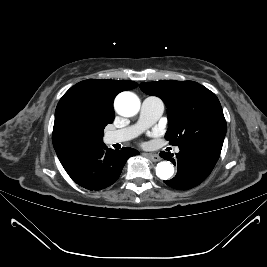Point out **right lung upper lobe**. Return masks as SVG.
Segmentation results:
<instances>
[{
	"instance_id": "1",
	"label": "right lung upper lobe",
	"mask_w": 267,
	"mask_h": 267,
	"mask_svg": "<svg viewBox=\"0 0 267 267\" xmlns=\"http://www.w3.org/2000/svg\"><path fill=\"white\" fill-rule=\"evenodd\" d=\"M136 82L128 80H84L71 87L60 99L56 111L52 140L60 161L88 147V139L73 137L67 129L68 117L76 111H84L96 119L113 122V101L122 91L134 89Z\"/></svg>"
}]
</instances>
